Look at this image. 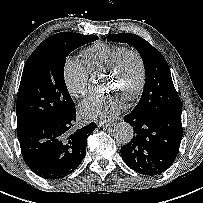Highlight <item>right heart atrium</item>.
I'll return each mask as SVG.
<instances>
[{
    "instance_id": "1",
    "label": "right heart atrium",
    "mask_w": 203,
    "mask_h": 203,
    "mask_svg": "<svg viewBox=\"0 0 203 203\" xmlns=\"http://www.w3.org/2000/svg\"><path fill=\"white\" fill-rule=\"evenodd\" d=\"M63 80L66 89L76 98L85 96L89 87V71L79 60L69 57L63 67Z\"/></svg>"
}]
</instances>
